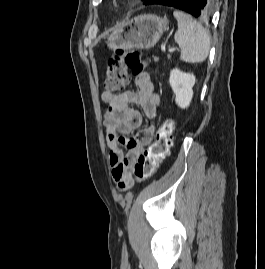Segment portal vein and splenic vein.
<instances>
[{"instance_id": "18ae733b", "label": "portal vein and splenic vein", "mask_w": 265, "mask_h": 269, "mask_svg": "<svg viewBox=\"0 0 265 269\" xmlns=\"http://www.w3.org/2000/svg\"><path fill=\"white\" fill-rule=\"evenodd\" d=\"M175 51V48H169V52Z\"/></svg>"}]
</instances>
